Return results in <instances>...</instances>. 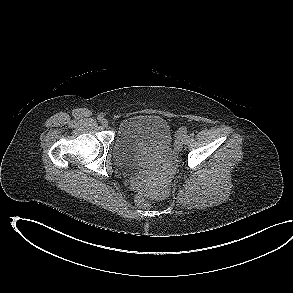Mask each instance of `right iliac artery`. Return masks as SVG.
<instances>
[{"label": "right iliac artery", "mask_w": 293, "mask_h": 293, "mask_svg": "<svg viewBox=\"0 0 293 293\" xmlns=\"http://www.w3.org/2000/svg\"><path fill=\"white\" fill-rule=\"evenodd\" d=\"M97 119L101 122L103 120V115H99Z\"/></svg>", "instance_id": "obj_1"}]
</instances>
